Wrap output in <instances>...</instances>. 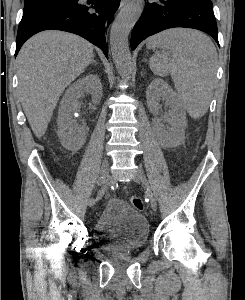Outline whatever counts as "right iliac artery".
Listing matches in <instances>:
<instances>
[{
    "instance_id": "1",
    "label": "right iliac artery",
    "mask_w": 245,
    "mask_h": 300,
    "mask_svg": "<svg viewBox=\"0 0 245 300\" xmlns=\"http://www.w3.org/2000/svg\"><path fill=\"white\" fill-rule=\"evenodd\" d=\"M100 178L101 179H100L99 183H100V185L102 184L103 186L99 190L98 195L94 198V201L96 204H99L101 202V198L104 197V192L108 190V187H107L108 180H109L108 177L105 176V177H103V179H102V177H100Z\"/></svg>"
}]
</instances>
